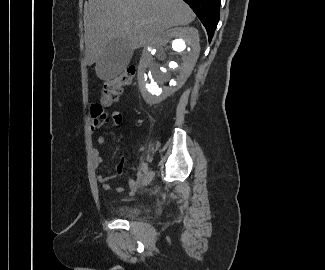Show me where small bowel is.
I'll return each instance as SVG.
<instances>
[{"label":"small bowel","instance_id":"1","mask_svg":"<svg viewBox=\"0 0 325 270\" xmlns=\"http://www.w3.org/2000/svg\"><path fill=\"white\" fill-rule=\"evenodd\" d=\"M110 109V104L109 103H96L93 104L91 106V114L93 116V121H92V128L96 129L98 127H100L102 124L104 123H110L112 125H119L122 121V114L120 111H114L112 113L111 116V120L108 119V112L105 110H109ZM100 121H103V123H101ZM96 143L99 146H104L105 145V139L102 136H98L96 138ZM93 158H94V163H95V167L99 168V166L102 164V162L104 161V156L102 155V153L95 148L93 150ZM125 163H126V159L122 158L120 160V162L117 164L116 166V172L118 174H122L125 168ZM97 181L100 183V185L102 186V188L104 190H110L111 188V184H110V180L113 178V176H106L103 174H97ZM128 186L130 188L131 191H135L137 186H138V180L137 179H129L128 180ZM117 192H123L124 187L123 186H117L116 187Z\"/></svg>","mask_w":325,"mask_h":270}]
</instances>
